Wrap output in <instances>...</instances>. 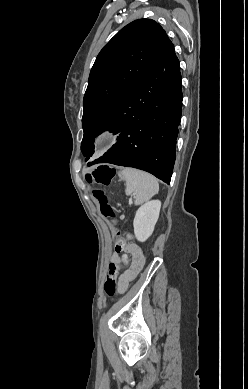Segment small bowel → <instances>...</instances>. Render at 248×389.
Wrapping results in <instances>:
<instances>
[{
  "instance_id": "obj_1",
  "label": "small bowel",
  "mask_w": 248,
  "mask_h": 389,
  "mask_svg": "<svg viewBox=\"0 0 248 389\" xmlns=\"http://www.w3.org/2000/svg\"><path fill=\"white\" fill-rule=\"evenodd\" d=\"M123 250H126L133 254L134 262L130 269H128L118 277L117 283L119 293H123L126 291L128 285L137 277L139 271L142 269L144 264V257L139 247L134 244L125 242ZM111 261L113 263L119 262L117 251L112 255Z\"/></svg>"
}]
</instances>
